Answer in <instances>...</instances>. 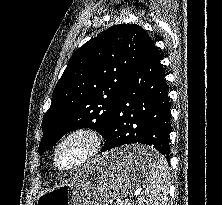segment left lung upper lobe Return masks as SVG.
I'll return each instance as SVG.
<instances>
[{"instance_id":"5c2ea615","label":"left lung upper lobe","mask_w":222,"mask_h":205,"mask_svg":"<svg viewBox=\"0 0 222 205\" xmlns=\"http://www.w3.org/2000/svg\"><path fill=\"white\" fill-rule=\"evenodd\" d=\"M149 39L138 25L119 24L74 52L44 115L39 154L71 130L91 128L106 136L129 72Z\"/></svg>"}]
</instances>
